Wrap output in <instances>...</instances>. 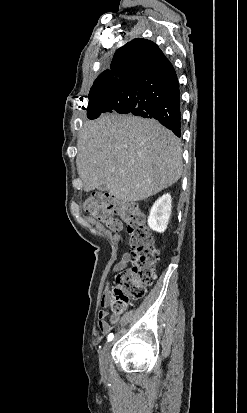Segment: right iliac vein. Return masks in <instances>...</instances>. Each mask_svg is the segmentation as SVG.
I'll list each match as a JSON object with an SVG mask.
<instances>
[{
	"label": "right iliac vein",
	"mask_w": 247,
	"mask_h": 413,
	"mask_svg": "<svg viewBox=\"0 0 247 413\" xmlns=\"http://www.w3.org/2000/svg\"><path fill=\"white\" fill-rule=\"evenodd\" d=\"M111 347H112V344L107 343V344H105V346L103 347V349L99 353V362H100V367H101L102 370H104L107 366L108 353H109V350L111 349Z\"/></svg>",
	"instance_id": "63e3f726"
}]
</instances>
